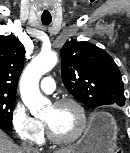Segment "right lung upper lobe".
Segmentation results:
<instances>
[{
    "instance_id": "obj_1",
    "label": "right lung upper lobe",
    "mask_w": 130,
    "mask_h": 153,
    "mask_svg": "<svg viewBox=\"0 0 130 153\" xmlns=\"http://www.w3.org/2000/svg\"><path fill=\"white\" fill-rule=\"evenodd\" d=\"M25 48L14 36H0V95L15 97Z\"/></svg>"
}]
</instances>
